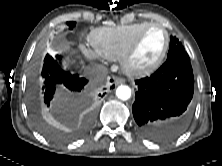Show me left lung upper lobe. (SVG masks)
<instances>
[{
  "mask_svg": "<svg viewBox=\"0 0 222 166\" xmlns=\"http://www.w3.org/2000/svg\"><path fill=\"white\" fill-rule=\"evenodd\" d=\"M172 59L190 60L181 42L176 37L170 38V47L167 55V60H172Z\"/></svg>",
  "mask_w": 222,
  "mask_h": 166,
  "instance_id": "obj_1",
  "label": "left lung upper lobe"
}]
</instances>
